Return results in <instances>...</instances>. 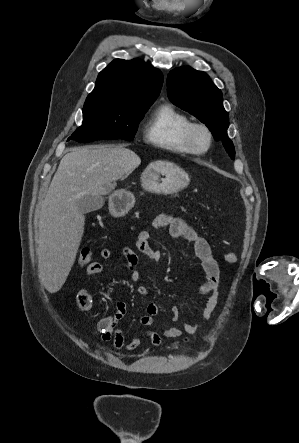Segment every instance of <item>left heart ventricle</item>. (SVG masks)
<instances>
[{
    "instance_id": "b2bd125f",
    "label": "left heart ventricle",
    "mask_w": 299,
    "mask_h": 443,
    "mask_svg": "<svg viewBox=\"0 0 299 443\" xmlns=\"http://www.w3.org/2000/svg\"><path fill=\"white\" fill-rule=\"evenodd\" d=\"M197 144L199 147H205L207 144L206 136L203 133L197 134Z\"/></svg>"
}]
</instances>
